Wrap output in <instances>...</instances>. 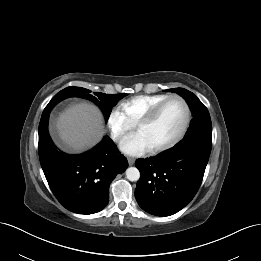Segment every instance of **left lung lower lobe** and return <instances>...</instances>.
<instances>
[{"label": "left lung lower lobe", "instance_id": "obj_1", "mask_svg": "<svg viewBox=\"0 0 261 261\" xmlns=\"http://www.w3.org/2000/svg\"><path fill=\"white\" fill-rule=\"evenodd\" d=\"M211 147L212 137L191 136L155 157L137 159L139 206L156 216L173 215L184 208L201 185Z\"/></svg>", "mask_w": 261, "mask_h": 261}]
</instances>
